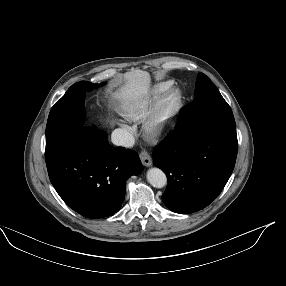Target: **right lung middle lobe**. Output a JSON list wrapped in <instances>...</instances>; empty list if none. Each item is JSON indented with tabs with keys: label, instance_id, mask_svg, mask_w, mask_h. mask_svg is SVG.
Instances as JSON below:
<instances>
[{
	"label": "right lung middle lobe",
	"instance_id": "1",
	"mask_svg": "<svg viewBox=\"0 0 286 286\" xmlns=\"http://www.w3.org/2000/svg\"><path fill=\"white\" fill-rule=\"evenodd\" d=\"M99 86L91 82L80 81L68 89L49 113L46 126V142L68 131L84 127L82 120L85 94Z\"/></svg>",
	"mask_w": 286,
	"mask_h": 286
}]
</instances>
